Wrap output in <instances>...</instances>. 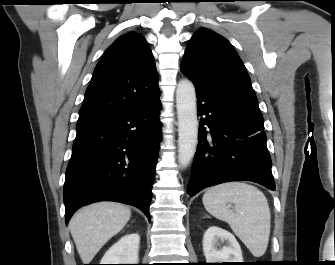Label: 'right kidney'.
Instances as JSON below:
<instances>
[{
    "label": "right kidney",
    "instance_id": "1",
    "mask_svg": "<svg viewBox=\"0 0 335 265\" xmlns=\"http://www.w3.org/2000/svg\"><path fill=\"white\" fill-rule=\"evenodd\" d=\"M139 244L137 233L126 234L107 250L100 264H138Z\"/></svg>",
    "mask_w": 335,
    "mask_h": 265
}]
</instances>
